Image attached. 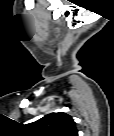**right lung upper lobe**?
<instances>
[{
	"label": "right lung upper lobe",
	"mask_w": 114,
	"mask_h": 136,
	"mask_svg": "<svg viewBox=\"0 0 114 136\" xmlns=\"http://www.w3.org/2000/svg\"><path fill=\"white\" fill-rule=\"evenodd\" d=\"M28 128L35 136H78L73 118L63 112L45 115Z\"/></svg>",
	"instance_id": "1"
}]
</instances>
